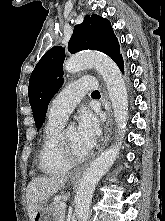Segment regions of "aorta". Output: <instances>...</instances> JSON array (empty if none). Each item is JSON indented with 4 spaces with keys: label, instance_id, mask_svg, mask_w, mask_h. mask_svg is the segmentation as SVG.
I'll return each mask as SVG.
<instances>
[{
    "label": "aorta",
    "instance_id": "762f6f07",
    "mask_svg": "<svg viewBox=\"0 0 165 221\" xmlns=\"http://www.w3.org/2000/svg\"><path fill=\"white\" fill-rule=\"evenodd\" d=\"M88 66L94 67L106 83L117 124L118 142L92 161L84 172L75 197V213L78 221H87L89 218L93 192L99 180L119 155L128 117V95L125 81L118 66L110 57L101 53L74 55L65 61L63 69L66 72L75 73Z\"/></svg>",
    "mask_w": 165,
    "mask_h": 221
}]
</instances>
